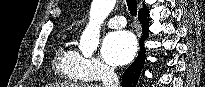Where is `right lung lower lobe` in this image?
Listing matches in <instances>:
<instances>
[{
    "mask_svg": "<svg viewBox=\"0 0 205 87\" xmlns=\"http://www.w3.org/2000/svg\"><path fill=\"white\" fill-rule=\"evenodd\" d=\"M149 13L146 7H143L138 12V19L142 24L143 35L140 38V51L136 60L125 70L122 76V86L123 87H136L138 78L140 76L141 70L145 62V48L144 41L148 37L149 23H148Z\"/></svg>",
    "mask_w": 205,
    "mask_h": 87,
    "instance_id": "obj_1",
    "label": "right lung lower lobe"
}]
</instances>
